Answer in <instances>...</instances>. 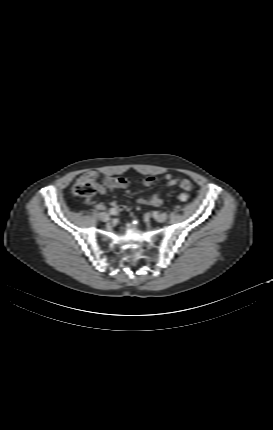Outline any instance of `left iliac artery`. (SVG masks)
I'll return each instance as SVG.
<instances>
[{
  "label": "left iliac artery",
  "mask_w": 273,
  "mask_h": 430,
  "mask_svg": "<svg viewBox=\"0 0 273 430\" xmlns=\"http://www.w3.org/2000/svg\"><path fill=\"white\" fill-rule=\"evenodd\" d=\"M186 200H187V197H186L184 194H181V195L179 196V201H180L181 203H184Z\"/></svg>",
  "instance_id": "44dca946"
}]
</instances>
